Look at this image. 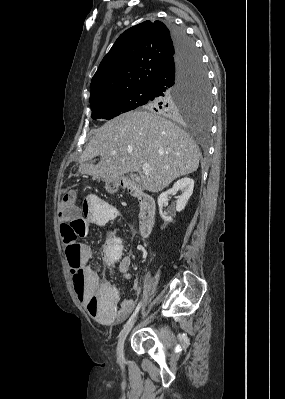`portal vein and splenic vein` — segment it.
Returning a JSON list of instances; mask_svg holds the SVG:
<instances>
[{
	"label": "portal vein and splenic vein",
	"instance_id": "18ae733b",
	"mask_svg": "<svg viewBox=\"0 0 285 399\" xmlns=\"http://www.w3.org/2000/svg\"><path fill=\"white\" fill-rule=\"evenodd\" d=\"M142 170L144 172H147V171H150V170H153V169L150 167L149 164L145 163V164L142 165Z\"/></svg>",
	"mask_w": 285,
	"mask_h": 399
}]
</instances>
